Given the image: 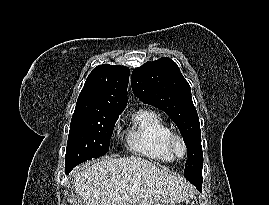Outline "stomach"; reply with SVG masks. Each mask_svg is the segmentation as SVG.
Returning a JSON list of instances; mask_svg holds the SVG:
<instances>
[{
    "label": "stomach",
    "instance_id": "obj_1",
    "mask_svg": "<svg viewBox=\"0 0 269 205\" xmlns=\"http://www.w3.org/2000/svg\"><path fill=\"white\" fill-rule=\"evenodd\" d=\"M153 205H172V204H163V203H161V204H153ZM174 205H181V204H174ZM186 205H188V204H186Z\"/></svg>",
    "mask_w": 269,
    "mask_h": 205
}]
</instances>
